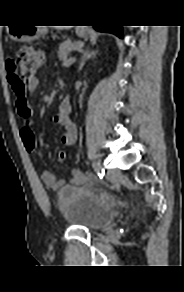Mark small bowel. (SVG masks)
Returning <instances> with one entry per match:
<instances>
[{"instance_id":"1","label":"small bowel","mask_w":184,"mask_h":292,"mask_svg":"<svg viewBox=\"0 0 184 292\" xmlns=\"http://www.w3.org/2000/svg\"><path fill=\"white\" fill-rule=\"evenodd\" d=\"M37 85H38L37 78H33L29 83V87L31 89H35ZM11 86L16 96L17 113L22 120V125L20 128V135L22 138V133L25 130L33 131L32 129L33 113L29 112L27 108L25 107L18 90L12 84ZM55 123L63 128L61 137H62V141L64 145H66L67 147H73L77 140V130H76L75 125L70 121L67 115H61V114H58L55 116ZM41 180L45 186L54 190L60 188L65 183L63 179H57L55 174L48 170L42 172ZM69 180H70V183L75 186L84 185L88 183L89 181L87 175L81 170H77V169L72 170Z\"/></svg>"}]
</instances>
